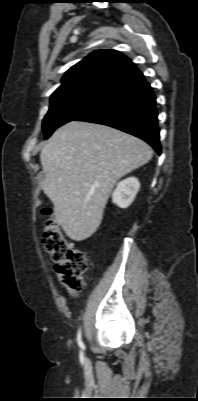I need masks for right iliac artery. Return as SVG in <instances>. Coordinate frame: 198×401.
I'll return each mask as SVG.
<instances>
[{
  "mask_svg": "<svg viewBox=\"0 0 198 401\" xmlns=\"http://www.w3.org/2000/svg\"><path fill=\"white\" fill-rule=\"evenodd\" d=\"M77 342H78V345H79L81 348H84L83 342H82V340H81V330L78 331V334H77Z\"/></svg>",
  "mask_w": 198,
  "mask_h": 401,
  "instance_id": "right-iliac-artery-1",
  "label": "right iliac artery"
}]
</instances>
